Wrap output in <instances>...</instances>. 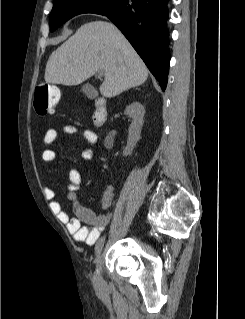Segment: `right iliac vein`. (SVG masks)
<instances>
[{
  "label": "right iliac vein",
  "instance_id": "right-iliac-vein-1",
  "mask_svg": "<svg viewBox=\"0 0 245 319\" xmlns=\"http://www.w3.org/2000/svg\"><path fill=\"white\" fill-rule=\"evenodd\" d=\"M104 242H105V238L102 237L97 242V245L101 244L103 246ZM102 268H103V253L100 254L98 262H97V276H98L100 281H101V275H102Z\"/></svg>",
  "mask_w": 245,
  "mask_h": 319
}]
</instances>
